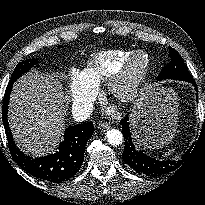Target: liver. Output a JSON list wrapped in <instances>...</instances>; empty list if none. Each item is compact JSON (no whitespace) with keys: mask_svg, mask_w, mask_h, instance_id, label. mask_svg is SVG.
Instances as JSON below:
<instances>
[{"mask_svg":"<svg viewBox=\"0 0 205 205\" xmlns=\"http://www.w3.org/2000/svg\"><path fill=\"white\" fill-rule=\"evenodd\" d=\"M68 97L58 78L37 71L21 77L13 86L9 124L16 144L27 154L43 155L60 142Z\"/></svg>","mask_w":205,"mask_h":205,"instance_id":"6515ba94","label":"liver"}]
</instances>
